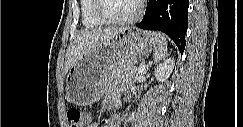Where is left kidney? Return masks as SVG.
<instances>
[{"label": "left kidney", "instance_id": "left-kidney-1", "mask_svg": "<svg viewBox=\"0 0 243 127\" xmlns=\"http://www.w3.org/2000/svg\"><path fill=\"white\" fill-rule=\"evenodd\" d=\"M174 59H167L157 66L155 69V77L158 81H166L173 71Z\"/></svg>", "mask_w": 243, "mask_h": 127}]
</instances>
